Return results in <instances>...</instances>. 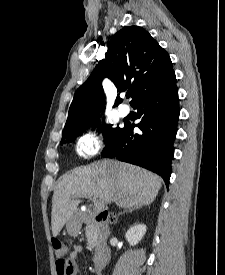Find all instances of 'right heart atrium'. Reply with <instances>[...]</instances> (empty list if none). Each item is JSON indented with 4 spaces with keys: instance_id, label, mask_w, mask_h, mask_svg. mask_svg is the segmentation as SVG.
Here are the masks:
<instances>
[{
    "instance_id": "d8ad5b80",
    "label": "right heart atrium",
    "mask_w": 225,
    "mask_h": 275,
    "mask_svg": "<svg viewBox=\"0 0 225 275\" xmlns=\"http://www.w3.org/2000/svg\"><path fill=\"white\" fill-rule=\"evenodd\" d=\"M102 146L100 133H86L76 142V152L80 157L88 158L95 155Z\"/></svg>"
}]
</instances>
